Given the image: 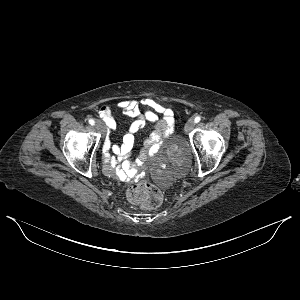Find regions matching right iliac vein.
Segmentation results:
<instances>
[{
    "label": "right iliac vein",
    "instance_id": "1",
    "mask_svg": "<svg viewBox=\"0 0 300 300\" xmlns=\"http://www.w3.org/2000/svg\"><path fill=\"white\" fill-rule=\"evenodd\" d=\"M95 127L99 132H104V124L101 120H96Z\"/></svg>",
    "mask_w": 300,
    "mask_h": 300
}]
</instances>
